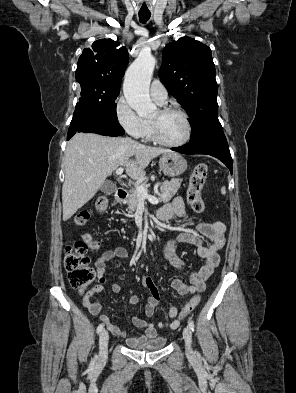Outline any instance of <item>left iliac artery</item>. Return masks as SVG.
<instances>
[{"mask_svg":"<svg viewBox=\"0 0 296 393\" xmlns=\"http://www.w3.org/2000/svg\"><path fill=\"white\" fill-rule=\"evenodd\" d=\"M188 326L190 327V329H191L192 331H194V322H193V321H189V322H188Z\"/></svg>","mask_w":296,"mask_h":393,"instance_id":"1","label":"left iliac artery"}]
</instances>
